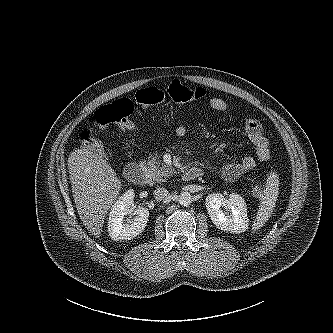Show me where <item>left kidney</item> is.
<instances>
[{
  "label": "left kidney",
  "instance_id": "1",
  "mask_svg": "<svg viewBox=\"0 0 333 333\" xmlns=\"http://www.w3.org/2000/svg\"><path fill=\"white\" fill-rule=\"evenodd\" d=\"M206 209L213 224L220 230L242 233L248 228L247 208L244 199L236 193L225 198L222 194H209Z\"/></svg>",
  "mask_w": 333,
  "mask_h": 333
}]
</instances>
